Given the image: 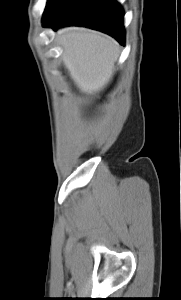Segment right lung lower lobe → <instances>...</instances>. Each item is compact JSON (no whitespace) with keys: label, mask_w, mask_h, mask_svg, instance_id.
Here are the masks:
<instances>
[{"label":"right lung lower lobe","mask_w":181,"mask_h":300,"mask_svg":"<svg viewBox=\"0 0 181 300\" xmlns=\"http://www.w3.org/2000/svg\"><path fill=\"white\" fill-rule=\"evenodd\" d=\"M123 17L116 0H64L43 16V27L85 26L107 33L124 45Z\"/></svg>","instance_id":"98d812e1"}]
</instances>
